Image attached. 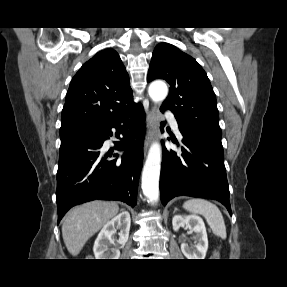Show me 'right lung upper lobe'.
<instances>
[{
    "label": "right lung upper lobe",
    "instance_id": "cb5924a9",
    "mask_svg": "<svg viewBox=\"0 0 287 287\" xmlns=\"http://www.w3.org/2000/svg\"><path fill=\"white\" fill-rule=\"evenodd\" d=\"M129 76L113 49L98 52L73 77L62 110V126L96 125L131 107Z\"/></svg>",
    "mask_w": 287,
    "mask_h": 287
}]
</instances>
